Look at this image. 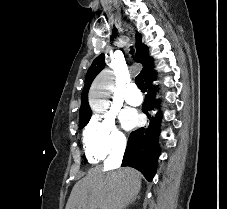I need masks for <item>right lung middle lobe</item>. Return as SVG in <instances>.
Masks as SVG:
<instances>
[{
    "instance_id": "dd1d6c3e",
    "label": "right lung middle lobe",
    "mask_w": 227,
    "mask_h": 209,
    "mask_svg": "<svg viewBox=\"0 0 227 209\" xmlns=\"http://www.w3.org/2000/svg\"><path fill=\"white\" fill-rule=\"evenodd\" d=\"M90 117L79 118V128L82 129L89 122Z\"/></svg>"
}]
</instances>
